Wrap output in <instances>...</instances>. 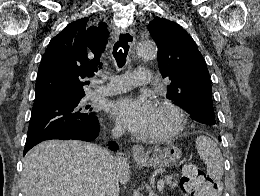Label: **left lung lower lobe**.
Segmentation results:
<instances>
[{
  "instance_id": "left-lung-lower-lobe-1",
  "label": "left lung lower lobe",
  "mask_w": 260,
  "mask_h": 196,
  "mask_svg": "<svg viewBox=\"0 0 260 196\" xmlns=\"http://www.w3.org/2000/svg\"><path fill=\"white\" fill-rule=\"evenodd\" d=\"M190 116L193 120L202 124H210L215 120L213 107L197 106L193 109Z\"/></svg>"
}]
</instances>
